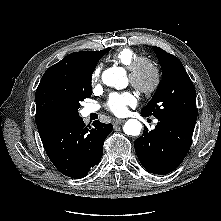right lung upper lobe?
<instances>
[{"mask_svg": "<svg viewBox=\"0 0 221 221\" xmlns=\"http://www.w3.org/2000/svg\"><path fill=\"white\" fill-rule=\"evenodd\" d=\"M109 50L110 48H106L101 51L75 52L67 55L61 61L47 69L36 90L35 121L39 132L59 124L57 122L46 120L41 115V111L38 106V97L42 89L52 81L73 80L81 75L89 73L91 70L94 71L99 59Z\"/></svg>", "mask_w": 221, "mask_h": 221, "instance_id": "obj_1", "label": "right lung upper lobe"}]
</instances>
